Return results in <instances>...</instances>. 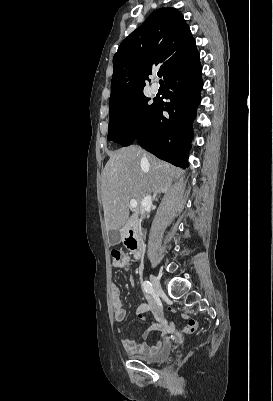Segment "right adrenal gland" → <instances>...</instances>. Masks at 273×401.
<instances>
[{
  "label": "right adrenal gland",
  "mask_w": 273,
  "mask_h": 401,
  "mask_svg": "<svg viewBox=\"0 0 273 401\" xmlns=\"http://www.w3.org/2000/svg\"><path fill=\"white\" fill-rule=\"evenodd\" d=\"M156 196H157V192H155V194L153 196V201H155Z\"/></svg>",
  "instance_id": "2a0ac1e0"
}]
</instances>
